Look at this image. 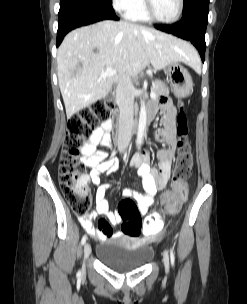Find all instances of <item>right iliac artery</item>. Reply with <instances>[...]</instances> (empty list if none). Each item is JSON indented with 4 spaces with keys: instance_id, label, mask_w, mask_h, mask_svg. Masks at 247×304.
Returning <instances> with one entry per match:
<instances>
[{
    "instance_id": "obj_1",
    "label": "right iliac artery",
    "mask_w": 247,
    "mask_h": 304,
    "mask_svg": "<svg viewBox=\"0 0 247 304\" xmlns=\"http://www.w3.org/2000/svg\"><path fill=\"white\" fill-rule=\"evenodd\" d=\"M86 240H87V236L84 235V236L82 237V241H81L82 245L86 242ZM80 274H81V273L78 272V275H80Z\"/></svg>"
}]
</instances>
